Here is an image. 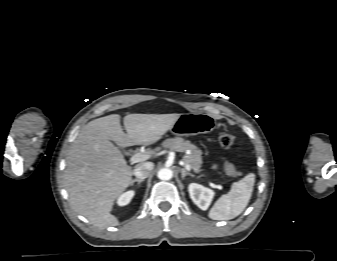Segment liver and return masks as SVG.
<instances>
[{"instance_id": "1", "label": "liver", "mask_w": 337, "mask_h": 261, "mask_svg": "<svg viewBox=\"0 0 337 261\" xmlns=\"http://www.w3.org/2000/svg\"><path fill=\"white\" fill-rule=\"evenodd\" d=\"M180 114H128L124 133L120 115L90 121L80 131L67 156L64 186L72 208L94 226L118 225L111 214L115 200L132 181L120 147L150 145L171 129Z\"/></svg>"}]
</instances>
